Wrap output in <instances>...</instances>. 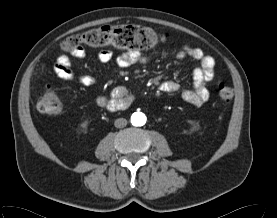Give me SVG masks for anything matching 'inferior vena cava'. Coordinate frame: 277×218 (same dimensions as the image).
Wrapping results in <instances>:
<instances>
[{
    "label": "inferior vena cava",
    "mask_w": 277,
    "mask_h": 218,
    "mask_svg": "<svg viewBox=\"0 0 277 218\" xmlns=\"http://www.w3.org/2000/svg\"><path fill=\"white\" fill-rule=\"evenodd\" d=\"M114 125L116 128H123L127 125V120L125 118H118L115 120Z\"/></svg>",
    "instance_id": "602c4592"
}]
</instances>
